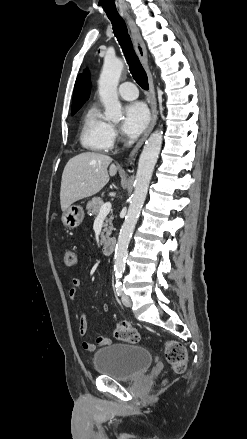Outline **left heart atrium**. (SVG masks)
I'll return each instance as SVG.
<instances>
[{
    "mask_svg": "<svg viewBox=\"0 0 247 439\" xmlns=\"http://www.w3.org/2000/svg\"><path fill=\"white\" fill-rule=\"evenodd\" d=\"M149 122V112L141 102L128 104L124 109L121 125L123 133L129 137H137L146 128Z\"/></svg>",
    "mask_w": 247,
    "mask_h": 439,
    "instance_id": "39dd6f15",
    "label": "left heart atrium"
}]
</instances>
